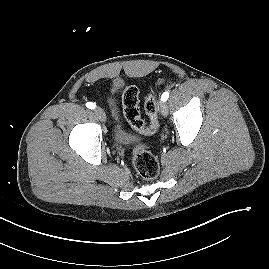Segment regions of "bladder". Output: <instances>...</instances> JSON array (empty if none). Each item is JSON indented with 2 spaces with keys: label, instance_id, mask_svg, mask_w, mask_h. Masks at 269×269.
<instances>
[{
  "label": "bladder",
  "instance_id": "bladder-1",
  "mask_svg": "<svg viewBox=\"0 0 269 269\" xmlns=\"http://www.w3.org/2000/svg\"><path fill=\"white\" fill-rule=\"evenodd\" d=\"M107 104L114 117L113 138L115 142L122 145L136 143L138 137L135 134L128 132L119 121L117 100L114 93L108 95Z\"/></svg>",
  "mask_w": 269,
  "mask_h": 269
}]
</instances>
